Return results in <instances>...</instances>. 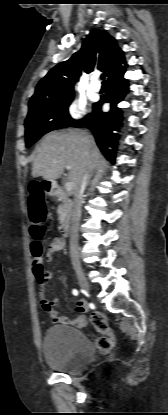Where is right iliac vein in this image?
<instances>
[{
    "label": "right iliac vein",
    "instance_id": "63e3f726",
    "mask_svg": "<svg viewBox=\"0 0 168 415\" xmlns=\"http://www.w3.org/2000/svg\"><path fill=\"white\" fill-rule=\"evenodd\" d=\"M76 275H77L78 282L82 290L86 293H90V284L87 281V278L85 277L84 273L79 270L76 272Z\"/></svg>",
    "mask_w": 168,
    "mask_h": 415
}]
</instances>
